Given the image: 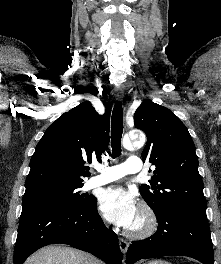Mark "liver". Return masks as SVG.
<instances>
[{
  "label": "liver",
  "instance_id": "obj_1",
  "mask_svg": "<svg viewBox=\"0 0 221 264\" xmlns=\"http://www.w3.org/2000/svg\"><path fill=\"white\" fill-rule=\"evenodd\" d=\"M24 264H101L94 256L63 246H47L31 255Z\"/></svg>",
  "mask_w": 221,
  "mask_h": 264
}]
</instances>
